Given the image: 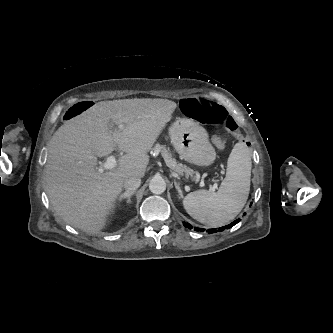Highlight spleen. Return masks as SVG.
Returning a JSON list of instances; mask_svg holds the SVG:
<instances>
[{
  "mask_svg": "<svg viewBox=\"0 0 333 333\" xmlns=\"http://www.w3.org/2000/svg\"><path fill=\"white\" fill-rule=\"evenodd\" d=\"M251 152L244 142L236 143L227 162L226 177L217 192L198 190L183 199L187 213L209 226H222L244 207L251 177Z\"/></svg>",
  "mask_w": 333,
  "mask_h": 333,
  "instance_id": "obj_1",
  "label": "spleen"
}]
</instances>
